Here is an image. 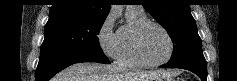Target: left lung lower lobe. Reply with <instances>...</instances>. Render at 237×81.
Returning a JSON list of instances; mask_svg holds the SVG:
<instances>
[{
	"mask_svg": "<svg viewBox=\"0 0 237 81\" xmlns=\"http://www.w3.org/2000/svg\"><path fill=\"white\" fill-rule=\"evenodd\" d=\"M166 65H162L160 67H165ZM167 67V66H166ZM172 68H181L189 70L200 77L202 81L207 80V65L206 64H189L179 67H172Z\"/></svg>",
	"mask_w": 237,
	"mask_h": 81,
	"instance_id": "0a47b994",
	"label": "left lung lower lobe"
}]
</instances>
